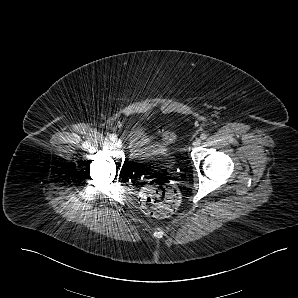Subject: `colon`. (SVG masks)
Listing matches in <instances>:
<instances>
[{
  "label": "colon",
  "instance_id": "colon-1",
  "mask_svg": "<svg viewBox=\"0 0 298 298\" xmlns=\"http://www.w3.org/2000/svg\"><path fill=\"white\" fill-rule=\"evenodd\" d=\"M168 140L174 134L165 131ZM140 204L144 212L155 217H166L174 213L180 204V194L174 183L165 177L151 180L140 192Z\"/></svg>",
  "mask_w": 298,
  "mask_h": 298
}]
</instances>
